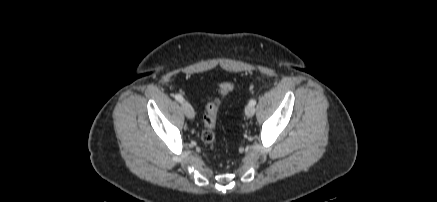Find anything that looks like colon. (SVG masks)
<instances>
[{"instance_id":"colon-1","label":"colon","mask_w":437,"mask_h":202,"mask_svg":"<svg viewBox=\"0 0 437 202\" xmlns=\"http://www.w3.org/2000/svg\"><path fill=\"white\" fill-rule=\"evenodd\" d=\"M235 83L233 81L223 82L219 87V96L206 106V111L203 116L204 130L202 132V140L210 148L215 146L216 142V122L217 113L222 100L233 90Z\"/></svg>"}]
</instances>
